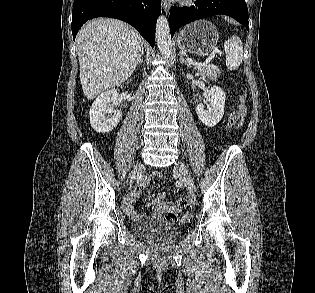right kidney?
I'll return each instance as SVG.
<instances>
[{
    "mask_svg": "<svg viewBox=\"0 0 315 293\" xmlns=\"http://www.w3.org/2000/svg\"><path fill=\"white\" fill-rule=\"evenodd\" d=\"M118 99V91L112 89L102 93L93 102L89 115L91 127L96 132L108 133L117 126L122 118V111L115 110V105L118 103Z\"/></svg>",
    "mask_w": 315,
    "mask_h": 293,
    "instance_id": "1",
    "label": "right kidney"
}]
</instances>
